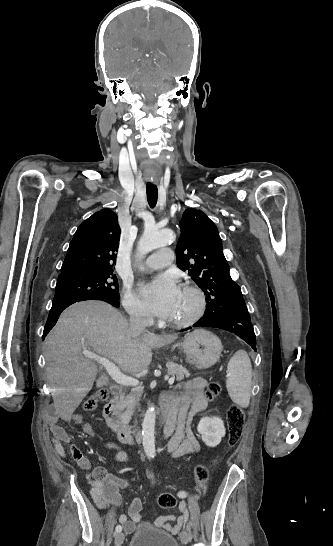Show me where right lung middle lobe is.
Instances as JSON below:
<instances>
[{
    "instance_id": "obj_1",
    "label": "right lung middle lobe",
    "mask_w": 333,
    "mask_h": 546,
    "mask_svg": "<svg viewBox=\"0 0 333 546\" xmlns=\"http://www.w3.org/2000/svg\"><path fill=\"white\" fill-rule=\"evenodd\" d=\"M113 271L74 272L58 277L53 303L109 296L120 299Z\"/></svg>"
}]
</instances>
